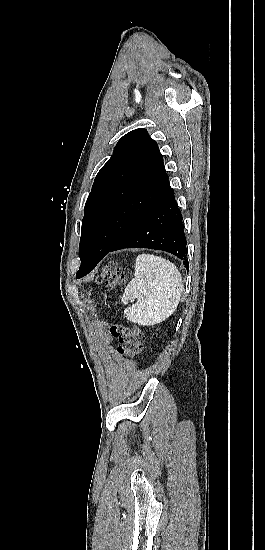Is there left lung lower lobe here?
I'll use <instances>...</instances> for the list:
<instances>
[{
  "label": "left lung lower lobe",
  "instance_id": "0a47b994",
  "mask_svg": "<svg viewBox=\"0 0 265 550\" xmlns=\"http://www.w3.org/2000/svg\"><path fill=\"white\" fill-rule=\"evenodd\" d=\"M186 244L182 215L175 201L174 191L170 187L110 249L105 252L91 250L81 262L76 277L81 278L92 271L109 252L123 248L164 250L184 260V265L188 269Z\"/></svg>",
  "mask_w": 265,
  "mask_h": 550
}]
</instances>
